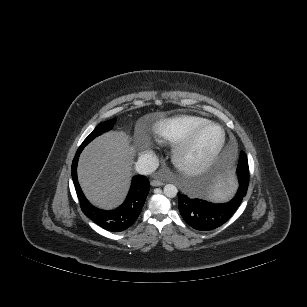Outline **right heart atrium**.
<instances>
[{
  "mask_svg": "<svg viewBox=\"0 0 307 307\" xmlns=\"http://www.w3.org/2000/svg\"><path fill=\"white\" fill-rule=\"evenodd\" d=\"M142 157H143L146 161H149V162L152 161L153 152H152V150H151L150 147H146V148L144 149V151L142 152Z\"/></svg>",
  "mask_w": 307,
  "mask_h": 307,
  "instance_id": "1",
  "label": "right heart atrium"
}]
</instances>
